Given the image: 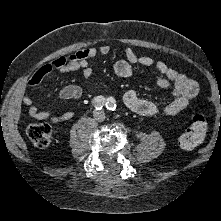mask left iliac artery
<instances>
[{"mask_svg": "<svg viewBox=\"0 0 221 221\" xmlns=\"http://www.w3.org/2000/svg\"><path fill=\"white\" fill-rule=\"evenodd\" d=\"M107 109L108 110H111V111H114L115 108H116V104H115V100L114 98L110 97L107 99Z\"/></svg>", "mask_w": 221, "mask_h": 221, "instance_id": "1", "label": "left iliac artery"}]
</instances>
